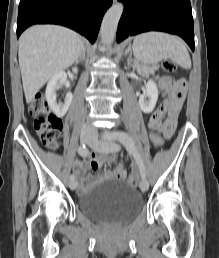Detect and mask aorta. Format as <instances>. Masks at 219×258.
Wrapping results in <instances>:
<instances>
[{
  "label": "aorta",
  "instance_id": "aorta-1",
  "mask_svg": "<svg viewBox=\"0 0 219 258\" xmlns=\"http://www.w3.org/2000/svg\"><path fill=\"white\" fill-rule=\"evenodd\" d=\"M123 9L124 6L122 3H116L106 12L100 31L101 42L104 45H111L113 43Z\"/></svg>",
  "mask_w": 219,
  "mask_h": 258
}]
</instances>
